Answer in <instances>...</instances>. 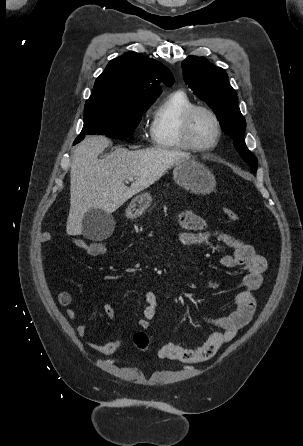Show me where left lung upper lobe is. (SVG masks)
Returning <instances> with one entry per match:
<instances>
[{
  "instance_id": "obj_1",
  "label": "left lung upper lobe",
  "mask_w": 303,
  "mask_h": 446,
  "mask_svg": "<svg viewBox=\"0 0 303 446\" xmlns=\"http://www.w3.org/2000/svg\"><path fill=\"white\" fill-rule=\"evenodd\" d=\"M185 82L195 95L205 101L216 113L225 133L232 137L241 157L257 170V159L246 147V122L237 105V95L228 82L226 72L208 62L205 57L188 56L182 63Z\"/></svg>"
}]
</instances>
